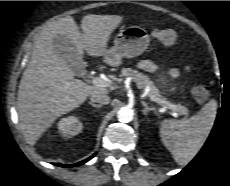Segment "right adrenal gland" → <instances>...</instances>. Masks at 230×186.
I'll return each instance as SVG.
<instances>
[{
    "mask_svg": "<svg viewBox=\"0 0 230 186\" xmlns=\"http://www.w3.org/2000/svg\"><path fill=\"white\" fill-rule=\"evenodd\" d=\"M88 104H90L92 107H95V108H100V107H102V105L101 104H95V103H93V102H88Z\"/></svg>",
    "mask_w": 230,
    "mask_h": 186,
    "instance_id": "right-adrenal-gland-1",
    "label": "right adrenal gland"
}]
</instances>
